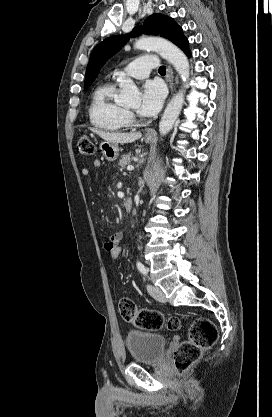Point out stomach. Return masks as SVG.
<instances>
[{
  "label": "stomach",
  "instance_id": "1",
  "mask_svg": "<svg viewBox=\"0 0 272 417\" xmlns=\"http://www.w3.org/2000/svg\"><path fill=\"white\" fill-rule=\"evenodd\" d=\"M146 143H151L153 138L145 137ZM100 149L105 159L109 162L115 161L119 156V146L118 143H113L109 141H103L100 143Z\"/></svg>",
  "mask_w": 272,
  "mask_h": 417
}]
</instances>
